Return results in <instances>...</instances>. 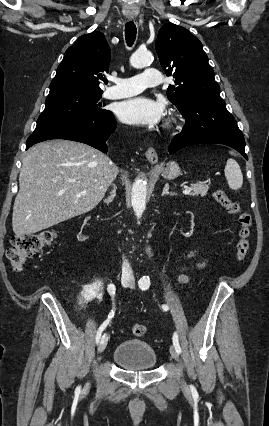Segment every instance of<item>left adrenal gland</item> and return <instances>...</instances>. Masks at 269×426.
I'll return each instance as SVG.
<instances>
[{"label": "left adrenal gland", "mask_w": 269, "mask_h": 426, "mask_svg": "<svg viewBox=\"0 0 269 426\" xmlns=\"http://www.w3.org/2000/svg\"><path fill=\"white\" fill-rule=\"evenodd\" d=\"M165 195H168V196H174L175 195V193L169 192V184L168 183L165 184V186L163 188V192L161 194V196H165Z\"/></svg>", "instance_id": "a2214340"}]
</instances>
